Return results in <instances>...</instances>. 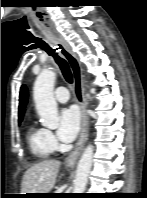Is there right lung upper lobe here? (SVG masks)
<instances>
[{
  "instance_id": "right-lung-upper-lobe-1",
  "label": "right lung upper lobe",
  "mask_w": 147,
  "mask_h": 198,
  "mask_svg": "<svg viewBox=\"0 0 147 198\" xmlns=\"http://www.w3.org/2000/svg\"><path fill=\"white\" fill-rule=\"evenodd\" d=\"M27 99H28V90H27L26 86H22L21 91H20V99H19V101H20L19 102V112H18L19 119L23 118Z\"/></svg>"
}]
</instances>
